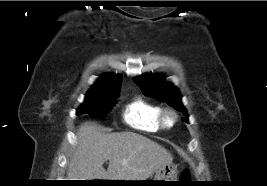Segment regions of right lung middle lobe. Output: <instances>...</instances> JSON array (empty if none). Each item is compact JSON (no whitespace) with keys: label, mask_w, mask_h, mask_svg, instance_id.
Listing matches in <instances>:
<instances>
[{"label":"right lung middle lobe","mask_w":267,"mask_h":186,"mask_svg":"<svg viewBox=\"0 0 267 186\" xmlns=\"http://www.w3.org/2000/svg\"><path fill=\"white\" fill-rule=\"evenodd\" d=\"M119 92H88L84 103L78 108L77 115L89 114L92 117H102L108 114L116 103Z\"/></svg>","instance_id":"dd1d6c3e"}]
</instances>
